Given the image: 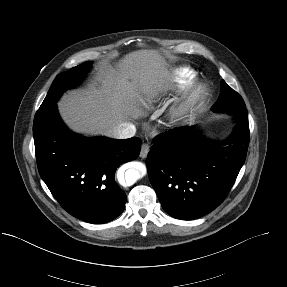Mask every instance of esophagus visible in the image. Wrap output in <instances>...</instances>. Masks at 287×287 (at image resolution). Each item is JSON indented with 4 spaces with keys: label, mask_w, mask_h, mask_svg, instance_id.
I'll return each mask as SVG.
<instances>
[{
    "label": "esophagus",
    "mask_w": 287,
    "mask_h": 287,
    "mask_svg": "<svg viewBox=\"0 0 287 287\" xmlns=\"http://www.w3.org/2000/svg\"><path fill=\"white\" fill-rule=\"evenodd\" d=\"M150 150V146L148 143H143L141 146V151H140V157L141 158H146L148 155V152Z\"/></svg>",
    "instance_id": "obj_1"
}]
</instances>
